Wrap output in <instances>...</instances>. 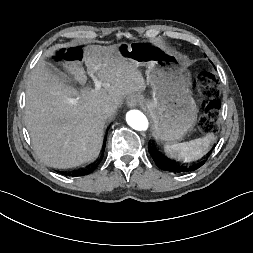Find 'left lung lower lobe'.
<instances>
[{"label": "left lung lower lobe", "instance_id": "left-lung-lower-lobe-1", "mask_svg": "<svg viewBox=\"0 0 253 253\" xmlns=\"http://www.w3.org/2000/svg\"><path fill=\"white\" fill-rule=\"evenodd\" d=\"M154 162L156 165L165 171H170L174 173H184V172H192L198 168H200L205 161H202L198 164H194L191 166H184V165H179L175 163L174 161H171L170 159L162 156L161 154L153 151L152 149L149 150Z\"/></svg>", "mask_w": 253, "mask_h": 253}]
</instances>
